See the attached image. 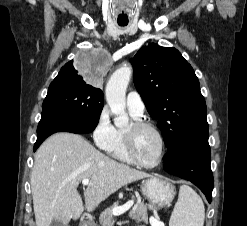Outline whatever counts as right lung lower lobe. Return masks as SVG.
<instances>
[{
	"instance_id": "right-lung-lower-lobe-1",
	"label": "right lung lower lobe",
	"mask_w": 247,
	"mask_h": 226,
	"mask_svg": "<svg viewBox=\"0 0 247 226\" xmlns=\"http://www.w3.org/2000/svg\"><path fill=\"white\" fill-rule=\"evenodd\" d=\"M96 126L97 124L93 121H81L61 113L50 112L42 115L37 128V141L34 145V151L48 136L55 132L85 134L93 131Z\"/></svg>"
}]
</instances>
